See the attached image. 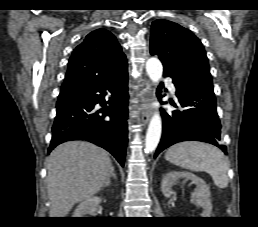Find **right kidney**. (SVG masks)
Here are the masks:
<instances>
[{
	"mask_svg": "<svg viewBox=\"0 0 258 227\" xmlns=\"http://www.w3.org/2000/svg\"><path fill=\"white\" fill-rule=\"evenodd\" d=\"M100 203L101 198L97 196L86 199L77 206L73 213V217H85L87 214L93 215Z\"/></svg>",
	"mask_w": 258,
	"mask_h": 227,
	"instance_id": "obj_1",
	"label": "right kidney"
}]
</instances>
